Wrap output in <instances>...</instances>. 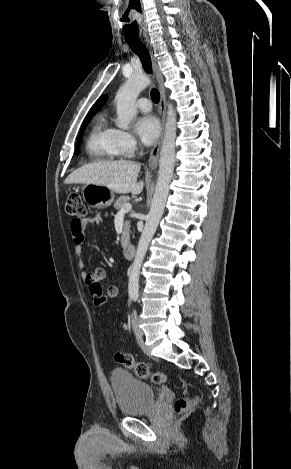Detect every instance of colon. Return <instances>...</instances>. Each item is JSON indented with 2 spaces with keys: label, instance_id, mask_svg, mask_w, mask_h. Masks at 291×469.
I'll list each match as a JSON object with an SVG mask.
<instances>
[{
  "label": "colon",
  "instance_id": "5ec220e1",
  "mask_svg": "<svg viewBox=\"0 0 291 469\" xmlns=\"http://www.w3.org/2000/svg\"><path fill=\"white\" fill-rule=\"evenodd\" d=\"M66 212L74 219H82L86 215V206L79 194L71 193L68 195L66 200ZM95 290L98 291V295L94 298V309L96 311H102L107 306L106 295L104 293H100V290L97 287H94V291ZM115 360L124 367L132 369L135 375L139 378L150 379L155 384H163L167 380V376L163 372H152L147 364L136 362L133 356L129 353L117 352L115 354ZM193 403L194 400L189 398H180L175 403V409L177 412H182Z\"/></svg>",
  "mask_w": 291,
  "mask_h": 469
}]
</instances>
